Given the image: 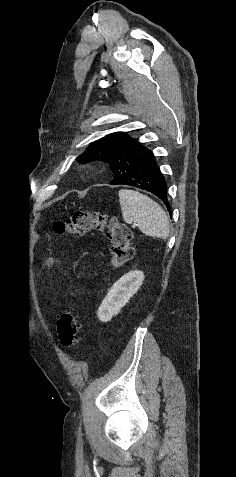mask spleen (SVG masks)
<instances>
[{
  "instance_id": "obj_1",
  "label": "spleen",
  "mask_w": 236,
  "mask_h": 477,
  "mask_svg": "<svg viewBox=\"0 0 236 477\" xmlns=\"http://www.w3.org/2000/svg\"><path fill=\"white\" fill-rule=\"evenodd\" d=\"M118 195L126 223H136L141 232L148 236L162 239L169 236V221L158 203L134 190L122 189Z\"/></svg>"
}]
</instances>
